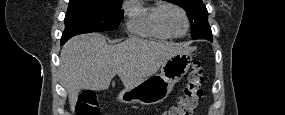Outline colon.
<instances>
[{
	"mask_svg": "<svg viewBox=\"0 0 285 115\" xmlns=\"http://www.w3.org/2000/svg\"><path fill=\"white\" fill-rule=\"evenodd\" d=\"M204 82V67L200 61H194L187 76L186 84L179 100L168 107L162 115H192L202 98V85ZM79 115H98L97 99L91 91H85L80 95L76 107Z\"/></svg>",
	"mask_w": 285,
	"mask_h": 115,
	"instance_id": "colon-1",
	"label": "colon"
}]
</instances>
